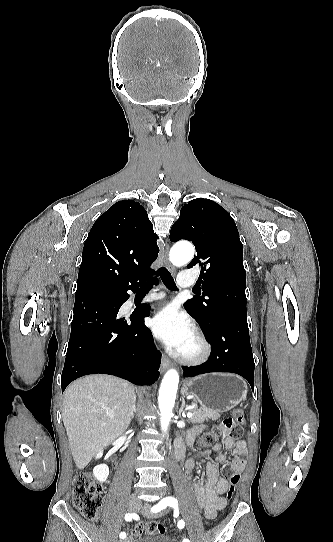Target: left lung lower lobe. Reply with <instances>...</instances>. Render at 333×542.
Masks as SVG:
<instances>
[{
	"label": "left lung lower lobe",
	"mask_w": 333,
	"mask_h": 542,
	"mask_svg": "<svg viewBox=\"0 0 333 542\" xmlns=\"http://www.w3.org/2000/svg\"><path fill=\"white\" fill-rule=\"evenodd\" d=\"M206 334L211 343L209 359L194 367H182L185 377L210 372H230L244 377L254 389V359L247 317L229 314L220 317Z\"/></svg>",
	"instance_id": "left-lung-lower-lobe-1"
}]
</instances>
